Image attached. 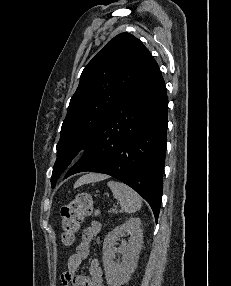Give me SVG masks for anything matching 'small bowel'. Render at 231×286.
<instances>
[{"mask_svg":"<svg viewBox=\"0 0 231 286\" xmlns=\"http://www.w3.org/2000/svg\"><path fill=\"white\" fill-rule=\"evenodd\" d=\"M101 231L98 221H91L83 230L82 238L76 251L71 254L67 262V270L62 274L63 286H105L103 284V271L97 258L90 261L88 275L78 274V268L90 255L91 244Z\"/></svg>","mask_w":231,"mask_h":286,"instance_id":"c3829d8e","label":"small bowel"}]
</instances>
